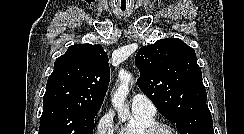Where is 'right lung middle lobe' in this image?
I'll return each instance as SVG.
<instances>
[{
  "label": "right lung middle lobe",
  "mask_w": 244,
  "mask_h": 134,
  "mask_svg": "<svg viewBox=\"0 0 244 134\" xmlns=\"http://www.w3.org/2000/svg\"><path fill=\"white\" fill-rule=\"evenodd\" d=\"M97 111H87L64 103L43 105L40 134H93Z\"/></svg>",
  "instance_id": "right-lung-middle-lobe-1"
}]
</instances>
